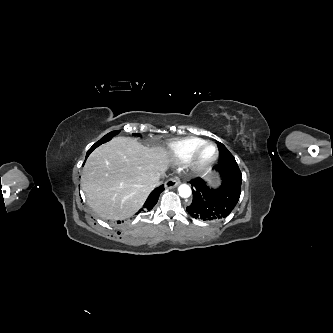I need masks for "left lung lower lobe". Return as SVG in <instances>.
Segmentation results:
<instances>
[{"mask_svg":"<svg viewBox=\"0 0 333 333\" xmlns=\"http://www.w3.org/2000/svg\"><path fill=\"white\" fill-rule=\"evenodd\" d=\"M222 177L218 189L208 186L201 178L193 179V200L187 207V212L196 219L203 221H218L227 217L236 206L240 193L242 174L237 163L218 164L214 167Z\"/></svg>","mask_w":333,"mask_h":333,"instance_id":"obj_1","label":"left lung lower lobe"}]
</instances>
